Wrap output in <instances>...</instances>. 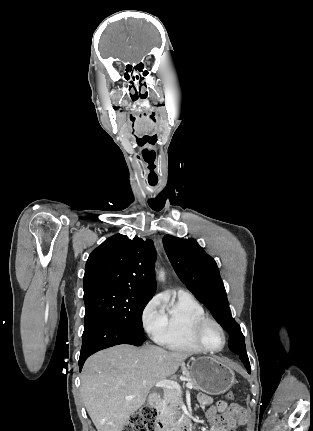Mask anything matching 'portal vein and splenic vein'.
I'll return each instance as SVG.
<instances>
[{
    "label": "portal vein and splenic vein",
    "mask_w": 313,
    "mask_h": 431,
    "mask_svg": "<svg viewBox=\"0 0 313 431\" xmlns=\"http://www.w3.org/2000/svg\"><path fill=\"white\" fill-rule=\"evenodd\" d=\"M155 387L164 388V389H175L176 391L181 393V386L177 382L172 381V380H161L155 384ZM186 387L188 389H192L193 385L191 383H187ZM133 398H134V396L126 397L127 400H130Z\"/></svg>",
    "instance_id": "1"
}]
</instances>
